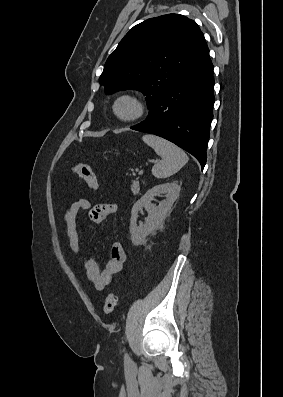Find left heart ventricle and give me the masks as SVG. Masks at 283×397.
Returning <instances> with one entry per match:
<instances>
[{
  "mask_svg": "<svg viewBox=\"0 0 283 397\" xmlns=\"http://www.w3.org/2000/svg\"><path fill=\"white\" fill-rule=\"evenodd\" d=\"M136 110V106L132 101L124 100L118 104L117 111L122 116H130Z\"/></svg>",
  "mask_w": 283,
  "mask_h": 397,
  "instance_id": "b2bd125f",
  "label": "left heart ventricle"
}]
</instances>
